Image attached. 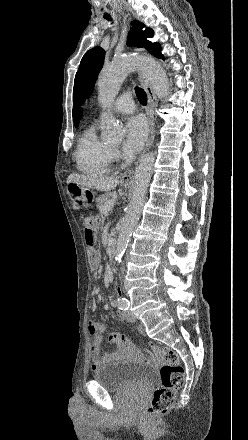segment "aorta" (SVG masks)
<instances>
[{
	"instance_id": "obj_1",
	"label": "aorta",
	"mask_w": 248,
	"mask_h": 440,
	"mask_svg": "<svg viewBox=\"0 0 248 440\" xmlns=\"http://www.w3.org/2000/svg\"><path fill=\"white\" fill-rule=\"evenodd\" d=\"M134 70H139L149 80L159 99H167L169 82L162 66L149 57L127 56L115 59L101 71L98 79V98L100 102L104 105H110L118 95L125 78ZM104 120L103 139L109 143H120L124 136L122 127L116 123L115 118L111 115H104ZM154 159L153 153L146 154L135 169L132 198L122 219L117 239L115 251L117 262L121 261L128 247L131 234L139 221L152 176Z\"/></svg>"
}]
</instances>
